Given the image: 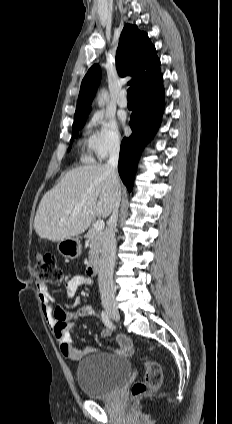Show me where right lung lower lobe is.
<instances>
[{"label":"right lung lower lobe","mask_w":232,"mask_h":424,"mask_svg":"<svg viewBox=\"0 0 232 424\" xmlns=\"http://www.w3.org/2000/svg\"><path fill=\"white\" fill-rule=\"evenodd\" d=\"M163 77L148 88L136 92V106L131 114L132 134L121 142L118 170L123 183L132 190L138 161L145 145L157 131L164 111Z\"/></svg>","instance_id":"right-lung-lower-lobe-1"}]
</instances>
